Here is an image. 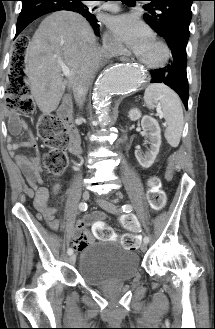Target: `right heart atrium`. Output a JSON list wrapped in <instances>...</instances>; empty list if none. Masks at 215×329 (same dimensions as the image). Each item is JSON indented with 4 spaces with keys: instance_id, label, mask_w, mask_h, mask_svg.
Segmentation results:
<instances>
[{
    "instance_id": "1",
    "label": "right heart atrium",
    "mask_w": 215,
    "mask_h": 329,
    "mask_svg": "<svg viewBox=\"0 0 215 329\" xmlns=\"http://www.w3.org/2000/svg\"><path fill=\"white\" fill-rule=\"evenodd\" d=\"M105 41L108 44V46L113 48V49L118 47L115 39L113 38V36L110 33L105 34Z\"/></svg>"
}]
</instances>
